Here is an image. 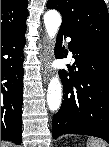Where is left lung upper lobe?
<instances>
[{
  "mask_svg": "<svg viewBox=\"0 0 109 147\" xmlns=\"http://www.w3.org/2000/svg\"><path fill=\"white\" fill-rule=\"evenodd\" d=\"M62 15L63 27L109 46V13L104 0H48Z\"/></svg>",
  "mask_w": 109,
  "mask_h": 147,
  "instance_id": "left-lung-upper-lobe-1",
  "label": "left lung upper lobe"
}]
</instances>
